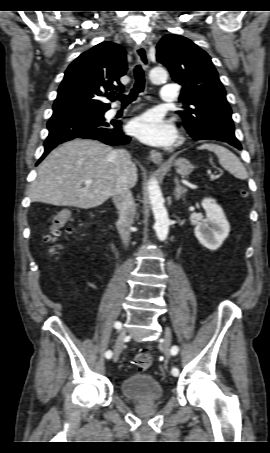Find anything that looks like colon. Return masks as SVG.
<instances>
[{
    "instance_id": "5ec220e1",
    "label": "colon",
    "mask_w": 270,
    "mask_h": 453,
    "mask_svg": "<svg viewBox=\"0 0 270 453\" xmlns=\"http://www.w3.org/2000/svg\"><path fill=\"white\" fill-rule=\"evenodd\" d=\"M242 197H246L245 191L241 192ZM72 221L71 212L69 210H62L58 212L51 221L50 231L47 240L51 243H56L64 238L69 232L68 225ZM52 253H57V247H52ZM153 363V357L148 352H140L135 356V364L140 370L148 369Z\"/></svg>"
}]
</instances>
